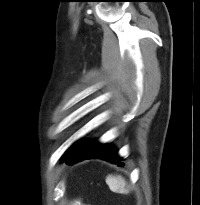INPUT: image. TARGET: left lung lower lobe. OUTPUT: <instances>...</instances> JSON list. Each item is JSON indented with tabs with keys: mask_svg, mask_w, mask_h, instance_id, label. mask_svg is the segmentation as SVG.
<instances>
[{
	"mask_svg": "<svg viewBox=\"0 0 200 205\" xmlns=\"http://www.w3.org/2000/svg\"><path fill=\"white\" fill-rule=\"evenodd\" d=\"M103 159L114 164L122 166L121 158L117 155V151L106 145L96 142L83 143L79 145L70 155L63 159L66 164H72L85 159Z\"/></svg>",
	"mask_w": 200,
	"mask_h": 205,
	"instance_id": "left-lung-lower-lobe-1",
	"label": "left lung lower lobe"
}]
</instances>
